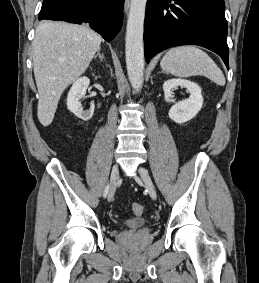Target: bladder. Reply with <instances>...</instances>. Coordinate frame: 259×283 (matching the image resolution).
<instances>
[{
    "label": "bladder",
    "mask_w": 259,
    "mask_h": 283,
    "mask_svg": "<svg viewBox=\"0 0 259 283\" xmlns=\"http://www.w3.org/2000/svg\"><path fill=\"white\" fill-rule=\"evenodd\" d=\"M147 224V219L143 217H134L127 219L121 223V226L128 229L142 228Z\"/></svg>",
    "instance_id": "31cf9c89"
}]
</instances>
